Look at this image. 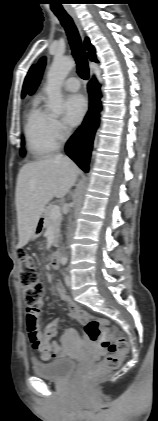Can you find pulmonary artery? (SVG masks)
<instances>
[{
    "label": "pulmonary artery",
    "mask_w": 158,
    "mask_h": 421,
    "mask_svg": "<svg viewBox=\"0 0 158 421\" xmlns=\"http://www.w3.org/2000/svg\"><path fill=\"white\" fill-rule=\"evenodd\" d=\"M63 88L71 92L78 91L80 89V82L76 77H69L63 82Z\"/></svg>",
    "instance_id": "obj_1"
}]
</instances>
